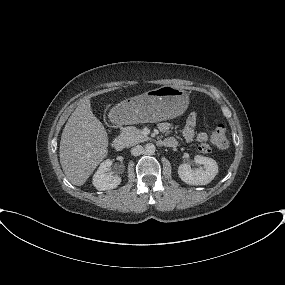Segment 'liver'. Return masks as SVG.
<instances>
[{
	"label": "liver",
	"mask_w": 285,
	"mask_h": 285,
	"mask_svg": "<svg viewBox=\"0 0 285 285\" xmlns=\"http://www.w3.org/2000/svg\"><path fill=\"white\" fill-rule=\"evenodd\" d=\"M108 136L94 116L90 99L80 101L68 119L60 141V163L67 179L83 185L108 153Z\"/></svg>",
	"instance_id": "liver-1"
}]
</instances>
